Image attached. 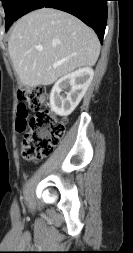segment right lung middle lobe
Listing matches in <instances>:
<instances>
[{
	"mask_svg": "<svg viewBox=\"0 0 133 253\" xmlns=\"http://www.w3.org/2000/svg\"><path fill=\"white\" fill-rule=\"evenodd\" d=\"M5 9L6 30L10 27L19 13L20 6L24 0H0Z\"/></svg>",
	"mask_w": 133,
	"mask_h": 253,
	"instance_id": "1",
	"label": "right lung middle lobe"
}]
</instances>
